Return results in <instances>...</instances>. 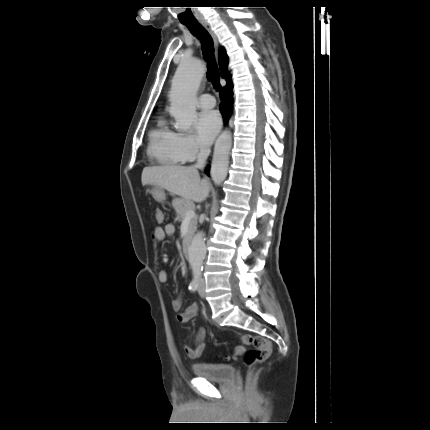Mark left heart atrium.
<instances>
[{
    "mask_svg": "<svg viewBox=\"0 0 430 430\" xmlns=\"http://www.w3.org/2000/svg\"><path fill=\"white\" fill-rule=\"evenodd\" d=\"M221 127V118L218 112L204 111L198 115L195 129L198 141L205 146L212 143Z\"/></svg>",
    "mask_w": 430,
    "mask_h": 430,
    "instance_id": "obj_1",
    "label": "left heart atrium"
}]
</instances>
